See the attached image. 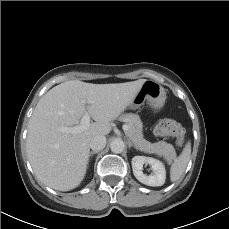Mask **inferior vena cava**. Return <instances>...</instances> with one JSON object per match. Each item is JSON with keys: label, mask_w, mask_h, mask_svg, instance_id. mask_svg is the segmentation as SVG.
Here are the masks:
<instances>
[{"label": "inferior vena cava", "mask_w": 229, "mask_h": 229, "mask_svg": "<svg viewBox=\"0 0 229 229\" xmlns=\"http://www.w3.org/2000/svg\"><path fill=\"white\" fill-rule=\"evenodd\" d=\"M106 137L104 135L94 136L89 143V146L94 151H100L105 148Z\"/></svg>", "instance_id": "obj_1"}]
</instances>
